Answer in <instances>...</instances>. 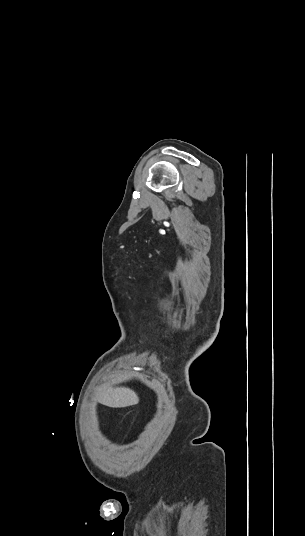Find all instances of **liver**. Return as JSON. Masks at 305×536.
Masks as SVG:
<instances>
[{
  "label": "liver",
  "instance_id": "6515ba94",
  "mask_svg": "<svg viewBox=\"0 0 305 536\" xmlns=\"http://www.w3.org/2000/svg\"><path fill=\"white\" fill-rule=\"evenodd\" d=\"M100 404L109 408H126L139 404V398L130 388H100L96 394Z\"/></svg>",
  "mask_w": 305,
  "mask_h": 536
}]
</instances>
